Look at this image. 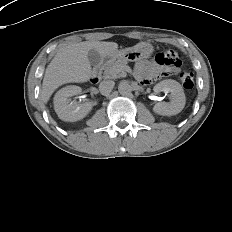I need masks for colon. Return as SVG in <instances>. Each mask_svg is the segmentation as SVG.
Instances as JSON below:
<instances>
[{"mask_svg": "<svg viewBox=\"0 0 232 232\" xmlns=\"http://www.w3.org/2000/svg\"><path fill=\"white\" fill-rule=\"evenodd\" d=\"M155 62L157 65H163L165 67H174L178 70L182 66V60L179 54L174 50H164L155 56ZM180 80L184 88L192 89L194 86V77L190 72H182L180 74Z\"/></svg>", "mask_w": 232, "mask_h": 232, "instance_id": "colon-1", "label": "colon"}]
</instances>
